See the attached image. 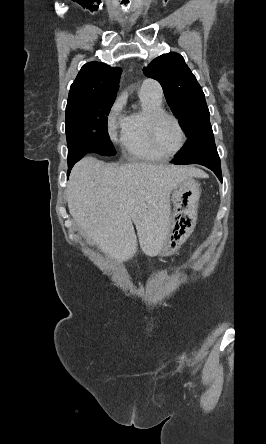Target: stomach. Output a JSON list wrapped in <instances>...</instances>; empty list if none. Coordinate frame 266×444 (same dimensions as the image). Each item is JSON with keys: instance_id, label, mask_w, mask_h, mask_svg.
<instances>
[{"instance_id": "0dacf381", "label": "stomach", "mask_w": 266, "mask_h": 444, "mask_svg": "<svg viewBox=\"0 0 266 444\" xmlns=\"http://www.w3.org/2000/svg\"><path fill=\"white\" fill-rule=\"evenodd\" d=\"M200 194L199 184L192 178L180 182L172 190L173 212L161 254L170 253L176 248L172 246V242L181 243L195 227Z\"/></svg>"}]
</instances>
